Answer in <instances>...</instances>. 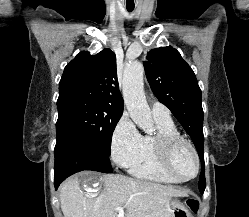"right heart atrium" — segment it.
<instances>
[{"label":"right heart atrium","mask_w":249,"mask_h":217,"mask_svg":"<svg viewBox=\"0 0 249 217\" xmlns=\"http://www.w3.org/2000/svg\"><path fill=\"white\" fill-rule=\"evenodd\" d=\"M142 136L133 121L123 114L111 135V155L118 167H129L141 145Z\"/></svg>","instance_id":"d8ad5b80"}]
</instances>
